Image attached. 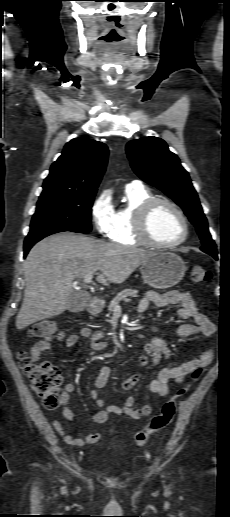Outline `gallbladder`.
Segmentation results:
<instances>
[{
  "label": "gallbladder",
  "instance_id": "bac80fb5",
  "mask_svg": "<svg viewBox=\"0 0 230 517\" xmlns=\"http://www.w3.org/2000/svg\"><path fill=\"white\" fill-rule=\"evenodd\" d=\"M88 299L89 296L85 292L73 291V293L68 297L67 308L71 312L82 311Z\"/></svg>",
  "mask_w": 230,
  "mask_h": 517
}]
</instances>
